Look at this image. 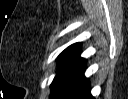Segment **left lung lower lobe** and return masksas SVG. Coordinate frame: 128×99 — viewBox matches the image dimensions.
<instances>
[{"mask_svg":"<svg viewBox=\"0 0 128 99\" xmlns=\"http://www.w3.org/2000/svg\"><path fill=\"white\" fill-rule=\"evenodd\" d=\"M86 60L78 51L63 66L53 80L50 99H94L90 94L88 79L84 77Z\"/></svg>","mask_w":128,"mask_h":99,"instance_id":"0a47b994","label":"left lung lower lobe"}]
</instances>
